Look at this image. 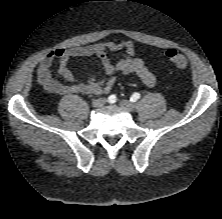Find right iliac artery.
<instances>
[{
    "instance_id": "82829eb1",
    "label": "right iliac artery",
    "mask_w": 222,
    "mask_h": 219,
    "mask_svg": "<svg viewBox=\"0 0 222 219\" xmlns=\"http://www.w3.org/2000/svg\"><path fill=\"white\" fill-rule=\"evenodd\" d=\"M117 100L116 96L115 95H111L108 97V102L109 103H115Z\"/></svg>"
}]
</instances>
